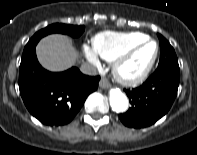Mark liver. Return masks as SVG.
<instances>
[{"label": "liver", "instance_id": "6515ba94", "mask_svg": "<svg viewBox=\"0 0 197 155\" xmlns=\"http://www.w3.org/2000/svg\"><path fill=\"white\" fill-rule=\"evenodd\" d=\"M36 51L40 64L50 71L66 70L79 58V53L70 39L60 34H52L41 39Z\"/></svg>", "mask_w": 197, "mask_h": 155}]
</instances>
